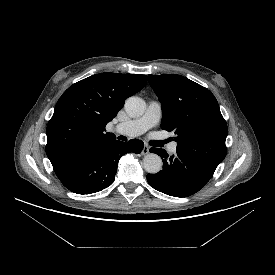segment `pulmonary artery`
Instances as JSON below:
<instances>
[{
	"label": "pulmonary artery",
	"mask_w": 275,
	"mask_h": 275,
	"mask_svg": "<svg viewBox=\"0 0 275 275\" xmlns=\"http://www.w3.org/2000/svg\"><path fill=\"white\" fill-rule=\"evenodd\" d=\"M161 114L162 110L160 103L157 101H150L147 110L142 117L118 124L115 127V131L130 137L141 135L158 124ZM176 147L177 144L172 143L169 146V151L174 153Z\"/></svg>",
	"instance_id": "obj_1"
}]
</instances>
